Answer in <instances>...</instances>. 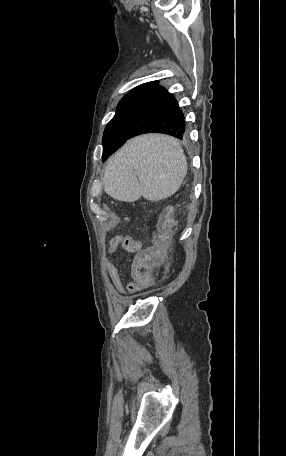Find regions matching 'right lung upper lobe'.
<instances>
[{
    "label": "right lung upper lobe",
    "instance_id": "cb5924a9",
    "mask_svg": "<svg viewBox=\"0 0 286 456\" xmlns=\"http://www.w3.org/2000/svg\"><path fill=\"white\" fill-rule=\"evenodd\" d=\"M155 83H158V81H152V82H148V83L141 84V85L135 87L131 92H133V91H135V90H137V89L143 88V87H145V86L155 84ZM131 92H130V93H131ZM128 94H129V93H128ZM128 94H127V95H128Z\"/></svg>",
    "mask_w": 286,
    "mask_h": 456
}]
</instances>
